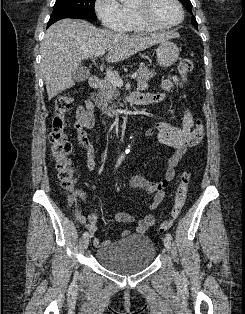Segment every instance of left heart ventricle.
<instances>
[{"label": "left heart ventricle", "mask_w": 245, "mask_h": 314, "mask_svg": "<svg viewBox=\"0 0 245 314\" xmlns=\"http://www.w3.org/2000/svg\"><path fill=\"white\" fill-rule=\"evenodd\" d=\"M136 0L134 5H138ZM151 16L162 23H177L181 19V12L174 0H153Z\"/></svg>", "instance_id": "left-heart-ventricle-1"}]
</instances>
